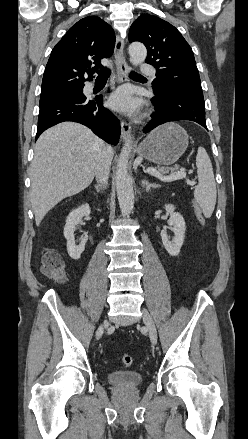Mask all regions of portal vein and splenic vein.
<instances>
[{
	"label": "portal vein and splenic vein",
	"mask_w": 248,
	"mask_h": 439,
	"mask_svg": "<svg viewBox=\"0 0 248 439\" xmlns=\"http://www.w3.org/2000/svg\"><path fill=\"white\" fill-rule=\"evenodd\" d=\"M146 172L149 173L150 175H153V176L159 178L162 181H165V182H171V181H175L177 179H182V178L186 177V173L184 171H180V172H178L176 174H172L170 176H162V174H160L154 168H147Z\"/></svg>",
	"instance_id": "obj_1"
}]
</instances>
